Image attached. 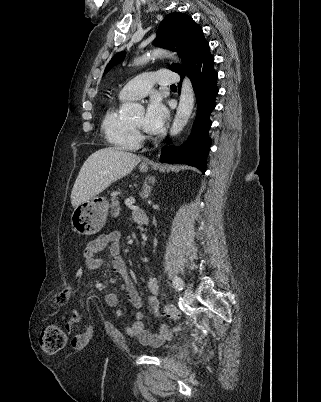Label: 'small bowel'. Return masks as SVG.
<instances>
[{"mask_svg": "<svg viewBox=\"0 0 321 402\" xmlns=\"http://www.w3.org/2000/svg\"><path fill=\"white\" fill-rule=\"evenodd\" d=\"M120 239L121 234L119 231H112L102 234L90 240L84 249L85 267L88 271H95L102 266V259L99 253L109 246L111 255L112 270L119 274L124 279V287L127 298L130 304L136 309L133 319L126 325V333L129 337L137 339L139 342L146 345H158L163 340L168 339L170 330L165 325H160L159 333L153 334L144 324V314L140 310L142 301L141 297L131 280L129 271L125 264L124 259L120 254ZM147 288L151 294L147 300L148 307L152 314L160 315V302H159V284L154 276H149L147 279ZM106 304L115 309L117 317H122L124 311L119 307V297L115 292H109L105 295ZM82 322V316L78 312H73L66 323V329L69 332L74 330V327ZM91 329L84 326L79 332L74 333L72 336V346L75 349L81 348L88 340Z\"/></svg>", "mask_w": 321, "mask_h": 402, "instance_id": "1", "label": "small bowel"}]
</instances>
